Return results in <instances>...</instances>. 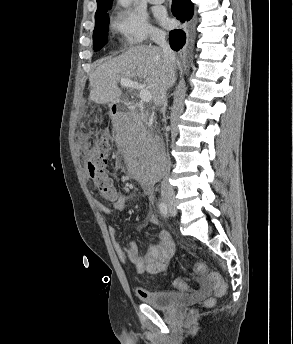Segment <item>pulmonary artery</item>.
<instances>
[{
    "label": "pulmonary artery",
    "mask_w": 293,
    "mask_h": 344,
    "mask_svg": "<svg viewBox=\"0 0 293 344\" xmlns=\"http://www.w3.org/2000/svg\"><path fill=\"white\" fill-rule=\"evenodd\" d=\"M151 4H161L163 3L165 0H148Z\"/></svg>",
    "instance_id": "obj_1"
}]
</instances>
